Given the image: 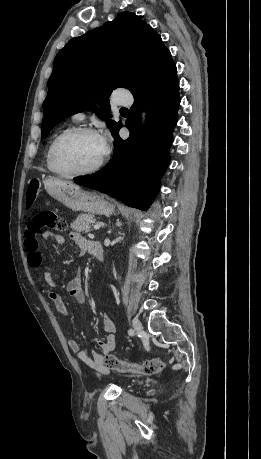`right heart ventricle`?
<instances>
[{
    "label": "right heart ventricle",
    "mask_w": 261,
    "mask_h": 459,
    "mask_svg": "<svg viewBox=\"0 0 261 459\" xmlns=\"http://www.w3.org/2000/svg\"><path fill=\"white\" fill-rule=\"evenodd\" d=\"M70 128H72V126H68V127L64 128V129L60 130V131L51 139V141H50V143H49V145H48V147H47L46 154H45V161H46V166H47V168H48L51 172H52V170H51L50 165H49V153H50L51 145H52L53 141L55 140V138H56L59 134H61L62 132L66 131V130H68V129H70Z\"/></svg>",
    "instance_id": "obj_1"
}]
</instances>
